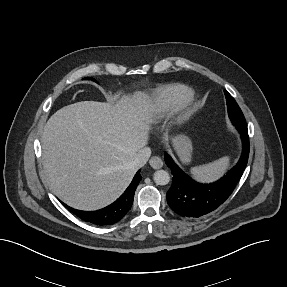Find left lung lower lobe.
<instances>
[{
    "label": "left lung lower lobe",
    "mask_w": 287,
    "mask_h": 287,
    "mask_svg": "<svg viewBox=\"0 0 287 287\" xmlns=\"http://www.w3.org/2000/svg\"><path fill=\"white\" fill-rule=\"evenodd\" d=\"M243 142V150L238 163L220 180L201 184L185 174L166 154L165 162L172 172V186L167 192L170 208L185 218H199L217 209L233 192L249 157L250 143L246 122H232Z\"/></svg>",
    "instance_id": "left-lung-lower-lobe-1"
}]
</instances>
